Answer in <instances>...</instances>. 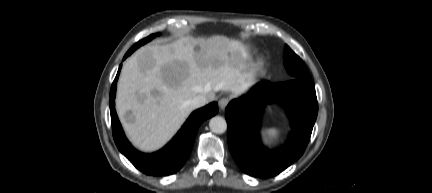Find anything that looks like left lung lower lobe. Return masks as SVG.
Instances as JSON below:
<instances>
[{
    "instance_id": "obj_1",
    "label": "left lung lower lobe",
    "mask_w": 432,
    "mask_h": 193,
    "mask_svg": "<svg viewBox=\"0 0 432 193\" xmlns=\"http://www.w3.org/2000/svg\"><path fill=\"white\" fill-rule=\"evenodd\" d=\"M286 107L293 131L280 150H267L259 140L260 115L266 103ZM228 144L231 154L245 173L268 178L279 174L304 152L318 113L315 86L311 79L293 78L272 84L260 82L226 107Z\"/></svg>"
}]
</instances>
